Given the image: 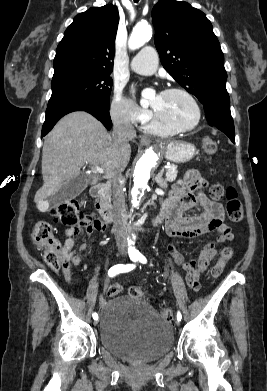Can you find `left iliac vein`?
Segmentation results:
<instances>
[{"mask_svg":"<svg viewBox=\"0 0 267 391\" xmlns=\"http://www.w3.org/2000/svg\"><path fill=\"white\" fill-rule=\"evenodd\" d=\"M176 325H177V326L180 325V321H179V320H176Z\"/></svg>","mask_w":267,"mask_h":391,"instance_id":"4c4485c4","label":"left iliac vein"}]
</instances>
